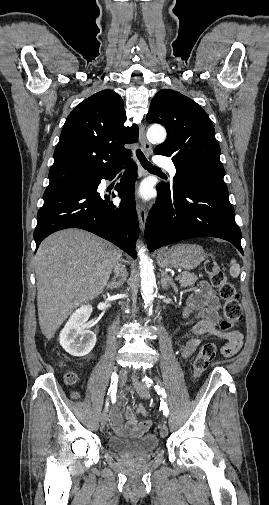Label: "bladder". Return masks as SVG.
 Returning <instances> with one entry per match:
<instances>
[{
	"mask_svg": "<svg viewBox=\"0 0 269 505\" xmlns=\"http://www.w3.org/2000/svg\"><path fill=\"white\" fill-rule=\"evenodd\" d=\"M158 443V438L153 434H145L133 439L111 437L108 440V445L113 452L128 458L147 457L157 449Z\"/></svg>",
	"mask_w": 269,
	"mask_h": 505,
	"instance_id": "bladder-1",
	"label": "bladder"
}]
</instances>
